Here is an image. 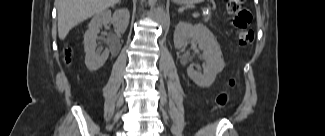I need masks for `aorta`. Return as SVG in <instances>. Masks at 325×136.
Masks as SVG:
<instances>
[{
	"mask_svg": "<svg viewBox=\"0 0 325 136\" xmlns=\"http://www.w3.org/2000/svg\"><path fill=\"white\" fill-rule=\"evenodd\" d=\"M148 2H149V4H154L155 0H149Z\"/></svg>",
	"mask_w": 325,
	"mask_h": 136,
	"instance_id": "aorta-1",
	"label": "aorta"
}]
</instances>
